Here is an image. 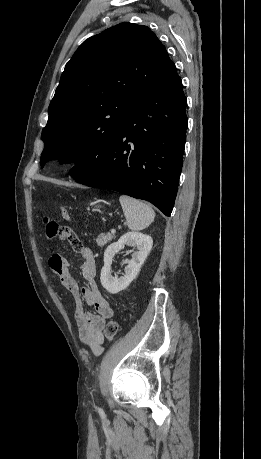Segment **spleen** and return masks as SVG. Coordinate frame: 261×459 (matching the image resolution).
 Wrapping results in <instances>:
<instances>
[{"mask_svg": "<svg viewBox=\"0 0 261 459\" xmlns=\"http://www.w3.org/2000/svg\"><path fill=\"white\" fill-rule=\"evenodd\" d=\"M119 201L130 230H143L153 222L155 212L148 204L126 195H121Z\"/></svg>", "mask_w": 261, "mask_h": 459, "instance_id": "spleen-1", "label": "spleen"}]
</instances>
